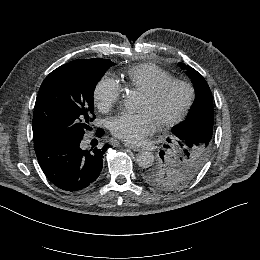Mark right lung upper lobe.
<instances>
[{
	"label": "right lung upper lobe",
	"instance_id": "cb5924a9",
	"mask_svg": "<svg viewBox=\"0 0 260 260\" xmlns=\"http://www.w3.org/2000/svg\"><path fill=\"white\" fill-rule=\"evenodd\" d=\"M110 60L107 59H82V60H74L72 64H101Z\"/></svg>",
	"mask_w": 260,
	"mask_h": 260
}]
</instances>
